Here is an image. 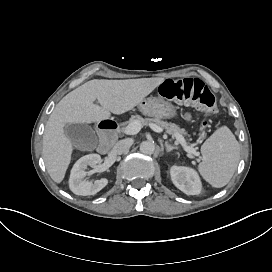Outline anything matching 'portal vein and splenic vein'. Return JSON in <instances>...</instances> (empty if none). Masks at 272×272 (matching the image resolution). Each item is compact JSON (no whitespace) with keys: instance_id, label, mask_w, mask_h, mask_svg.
<instances>
[{"instance_id":"18ae733b","label":"portal vein and splenic vein","mask_w":272,"mask_h":272,"mask_svg":"<svg viewBox=\"0 0 272 272\" xmlns=\"http://www.w3.org/2000/svg\"><path fill=\"white\" fill-rule=\"evenodd\" d=\"M149 127L155 132H162L163 131V129L160 126H158L154 123L149 124ZM141 128H142V125H141L140 121L134 120L127 127H125L124 133L127 135H135L141 130ZM175 135H176V142L180 143L186 152H188L190 154H194V155L197 154L196 149L188 146L186 143V140L184 139V137L182 135H180V134H175Z\"/></svg>"}]
</instances>
